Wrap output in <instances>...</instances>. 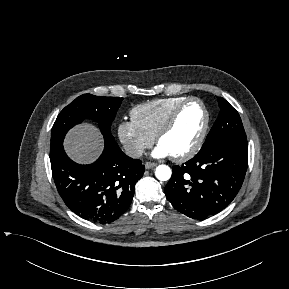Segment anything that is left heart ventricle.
<instances>
[{"label": "left heart ventricle", "instance_id": "obj_1", "mask_svg": "<svg viewBox=\"0 0 289 289\" xmlns=\"http://www.w3.org/2000/svg\"><path fill=\"white\" fill-rule=\"evenodd\" d=\"M204 118V112L198 103L188 104L180 113L172 130L161 139L159 145L170 155L184 153L197 140Z\"/></svg>", "mask_w": 289, "mask_h": 289}]
</instances>
